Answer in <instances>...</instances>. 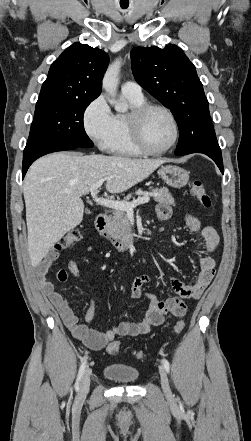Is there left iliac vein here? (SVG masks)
Masks as SVG:
<instances>
[{
	"label": "left iliac vein",
	"instance_id": "4c4485c4",
	"mask_svg": "<svg viewBox=\"0 0 251 441\" xmlns=\"http://www.w3.org/2000/svg\"><path fill=\"white\" fill-rule=\"evenodd\" d=\"M159 373H160V380H161V386L163 392L167 397H170L172 393L169 385L168 376L165 369L162 366H159Z\"/></svg>",
	"mask_w": 251,
	"mask_h": 441
}]
</instances>
